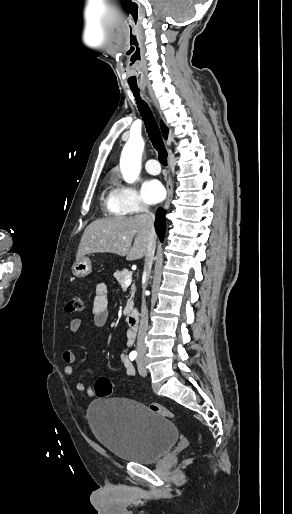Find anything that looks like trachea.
<instances>
[{
  "instance_id": "1",
  "label": "trachea",
  "mask_w": 292,
  "mask_h": 514,
  "mask_svg": "<svg viewBox=\"0 0 292 514\" xmlns=\"http://www.w3.org/2000/svg\"><path fill=\"white\" fill-rule=\"evenodd\" d=\"M132 92L134 94L141 117L144 121L148 137L151 140L153 147L158 151L159 162L166 167L168 154L164 147L161 132L157 122L147 103L141 99L140 91L138 89H132Z\"/></svg>"
}]
</instances>
